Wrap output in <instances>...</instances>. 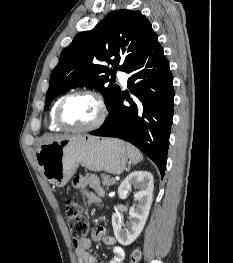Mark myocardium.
<instances>
[{"label":"myocardium","instance_id":"f54148a6","mask_svg":"<svg viewBox=\"0 0 233 263\" xmlns=\"http://www.w3.org/2000/svg\"><path fill=\"white\" fill-rule=\"evenodd\" d=\"M77 96H89L95 99L96 102L98 103L99 116L96 119V121L89 126L81 127V128L72 127L68 125L63 119L62 111H63L65 104L70 99L77 97ZM107 113H108L107 105L101 94H99L98 92L92 91V90H79V91H74V92H71L65 95L60 100L57 106V109H56L55 120H56V123L64 130H67L70 132H76V133L91 132V131L97 130L98 128L102 126V124L104 123L107 117Z\"/></svg>","mask_w":233,"mask_h":263}]
</instances>
